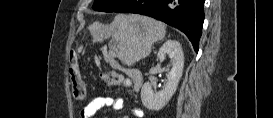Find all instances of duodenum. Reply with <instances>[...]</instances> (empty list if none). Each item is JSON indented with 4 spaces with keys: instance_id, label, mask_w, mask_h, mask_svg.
Here are the masks:
<instances>
[{
    "instance_id": "410a0bca",
    "label": "duodenum",
    "mask_w": 273,
    "mask_h": 118,
    "mask_svg": "<svg viewBox=\"0 0 273 118\" xmlns=\"http://www.w3.org/2000/svg\"><path fill=\"white\" fill-rule=\"evenodd\" d=\"M108 61L111 65L115 67L117 66V64L111 58H108ZM124 71L131 80L133 90L138 91L143 84V76L140 70L133 67H127L124 69Z\"/></svg>"
}]
</instances>
